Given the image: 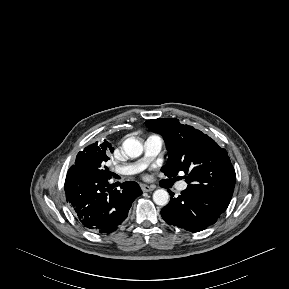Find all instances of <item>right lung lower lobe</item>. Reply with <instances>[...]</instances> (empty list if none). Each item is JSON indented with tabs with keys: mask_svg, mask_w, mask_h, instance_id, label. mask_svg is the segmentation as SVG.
Listing matches in <instances>:
<instances>
[{
	"mask_svg": "<svg viewBox=\"0 0 289 289\" xmlns=\"http://www.w3.org/2000/svg\"><path fill=\"white\" fill-rule=\"evenodd\" d=\"M109 179L70 168L65 180L66 199L82 225L94 232L111 233L127 218L132 202L142 194L134 181L113 189Z\"/></svg>",
	"mask_w": 289,
	"mask_h": 289,
	"instance_id": "98d812e1",
	"label": "right lung lower lobe"
}]
</instances>
